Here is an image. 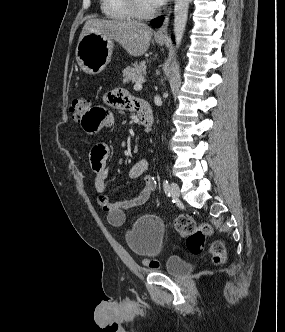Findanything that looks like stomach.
I'll use <instances>...</instances> for the list:
<instances>
[{"mask_svg": "<svg viewBox=\"0 0 285 332\" xmlns=\"http://www.w3.org/2000/svg\"><path fill=\"white\" fill-rule=\"evenodd\" d=\"M155 41L163 45L164 38L155 37ZM114 43L111 39L93 32L82 37L76 48V60L79 67L90 75L103 71L111 59Z\"/></svg>", "mask_w": 285, "mask_h": 332, "instance_id": "1", "label": "stomach"}]
</instances>
